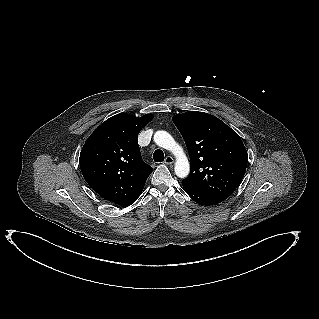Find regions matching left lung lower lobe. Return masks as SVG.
<instances>
[{
    "mask_svg": "<svg viewBox=\"0 0 319 319\" xmlns=\"http://www.w3.org/2000/svg\"><path fill=\"white\" fill-rule=\"evenodd\" d=\"M185 192L198 204L201 205H216L221 203L223 200H220L218 198L209 196L207 194H204L200 191H197L195 189L189 188L188 186L184 185Z\"/></svg>",
    "mask_w": 319,
    "mask_h": 319,
    "instance_id": "0a47b994",
    "label": "left lung lower lobe"
}]
</instances>
